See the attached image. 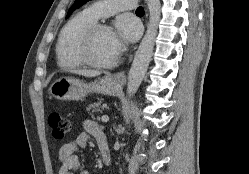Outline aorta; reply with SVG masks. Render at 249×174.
Instances as JSON below:
<instances>
[{
  "label": "aorta",
  "instance_id": "obj_1",
  "mask_svg": "<svg viewBox=\"0 0 249 174\" xmlns=\"http://www.w3.org/2000/svg\"><path fill=\"white\" fill-rule=\"evenodd\" d=\"M149 10L147 30L135 53L132 66L128 73L127 93L134 95L141 85L151 61L157 29L160 21V0H146Z\"/></svg>",
  "mask_w": 249,
  "mask_h": 174
}]
</instances>
